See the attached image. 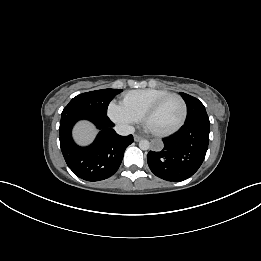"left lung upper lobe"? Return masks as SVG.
Listing matches in <instances>:
<instances>
[{
	"label": "left lung upper lobe",
	"mask_w": 261,
	"mask_h": 261,
	"mask_svg": "<svg viewBox=\"0 0 261 261\" xmlns=\"http://www.w3.org/2000/svg\"><path fill=\"white\" fill-rule=\"evenodd\" d=\"M181 96L187 105V118L185 123L201 118H208L204 105L197 98L186 93H181Z\"/></svg>",
	"instance_id": "5c2ea615"
}]
</instances>
